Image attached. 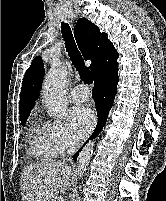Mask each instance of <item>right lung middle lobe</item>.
<instances>
[{
	"label": "right lung middle lobe",
	"mask_w": 166,
	"mask_h": 201,
	"mask_svg": "<svg viewBox=\"0 0 166 201\" xmlns=\"http://www.w3.org/2000/svg\"><path fill=\"white\" fill-rule=\"evenodd\" d=\"M27 118H28V116H25V117L20 118L22 125L25 124V122L27 121Z\"/></svg>",
	"instance_id": "obj_1"
}]
</instances>
